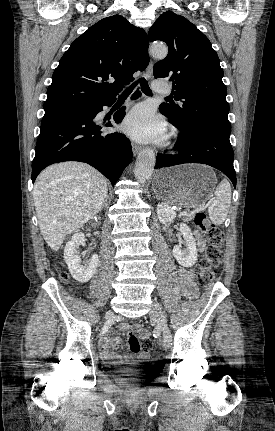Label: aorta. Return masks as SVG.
<instances>
[{"label":"aorta","instance_id":"obj_1","mask_svg":"<svg viewBox=\"0 0 275 431\" xmlns=\"http://www.w3.org/2000/svg\"><path fill=\"white\" fill-rule=\"evenodd\" d=\"M167 53L168 49L163 44H153L150 48V54L157 59L166 57ZM155 161V153L151 149H144L139 153L134 173L140 183H145L151 177Z\"/></svg>","mask_w":275,"mask_h":431}]
</instances>
